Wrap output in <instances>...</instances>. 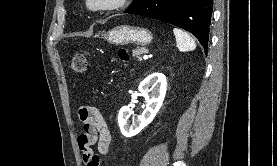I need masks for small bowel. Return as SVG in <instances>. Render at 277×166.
<instances>
[{
	"instance_id": "obj_1",
	"label": "small bowel",
	"mask_w": 277,
	"mask_h": 166,
	"mask_svg": "<svg viewBox=\"0 0 277 166\" xmlns=\"http://www.w3.org/2000/svg\"><path fill=\"white\" fill-rule=\"evenodd\" d=\"M83 131L78 137V147L85 166H100L101 156L109 152L111 133L108 125L97 108L86 106L79 110ZM97 145L98 153L93 146Z\"/></svg>"
}]
</instances>
